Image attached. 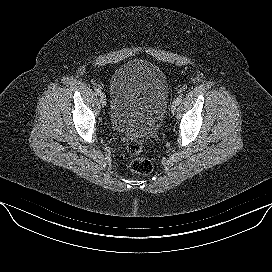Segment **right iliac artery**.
I'll use <instances>...</instances> for the list:
<instances>
[{"mask_svg":"<svg viewBox=\"0 0 272 272\" xmlns=\"http://www.w3.org/2000/svg\"><path fill=\"white\" fill-rule=\"evenodd\" d=\"M95 92H96L98 95H101V89L95 88Z\"/></svg>","mask_w":272,"mask_h":272,"instance_id":"obj_1","label":"right iliac artery"}]
</instances>
